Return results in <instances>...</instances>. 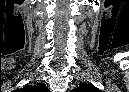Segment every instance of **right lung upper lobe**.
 I'll list each match as a JSON object with an SVG mask.
<instances>
[{
	"label": "right lung upper lobe",
	"instance_id": "cb5924a9",
	"mask_svg": "<svg viewBox=\"0 0 129 92\" xmlns=\"http://www.w3.org/2000/svg\"><path fill=\"white\" fill-rule=\"evenodd\" d=\"M46 86L44 84H37V86H25L22 89H18L21 92H38V91H45Z\"/></svg>",
	"mask_w": 129,
	"mask_h": 92
}]
</instances>
